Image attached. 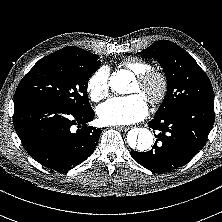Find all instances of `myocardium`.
<instances>
[{
	"instance_id": "obj_1",
	"label": "myocardium",
	"mask_w": 222,
	"mask_h": 222,
	"mask_svg": "<svg viewBox=\"0 0 222 222\" xmlns=\"http://www.w3.org/2000/svg\"><path fill=\"white\" fill-rule=\"evenodd\" d=\"M136 81L149 91L146 99L152 106L160 105L165 100L169 89V81L165 73L151 69L137 74Z\"/></svg>"
}]
</instances>
